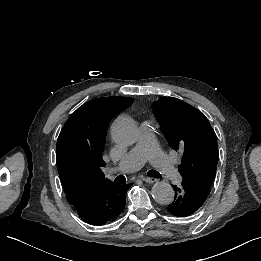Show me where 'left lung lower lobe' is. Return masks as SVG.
<instances>
[{
    "mask_svg": "<svg viewBox=\"0 0 261 261\" xmlns=\"http://www.w3.org/2000/svg\"><path fill=\"white\" fill-rule=\"evenodd\" d=\"M173 189L175 198L167 210L178 217H187L196 212L207 199L210 190L190 179H183L181 187L173 186Z\"/></svg>",
    "mask_w": 261,
    "mask_h": 261,
    "instance_id": "1",
    "label": "left lung lower lobe"
}]
</instances>
